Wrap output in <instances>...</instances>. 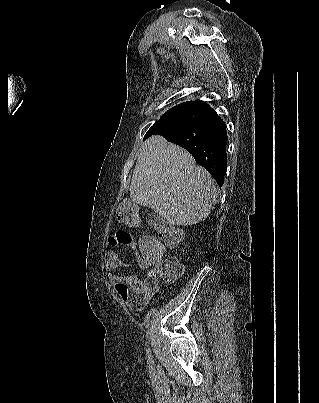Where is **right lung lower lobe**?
Wrapping results in <instances>:
<instances>
[{"label":"right lung lower lobe","mask_w":319,"mask_h":403,"mask_svg":"<svg viewBox=\"0 0 319 403\" xmlns=\"http://www.w3.org/2000/svg\"><path fill=\"white\" fill-rule=\"evenodd\" d=\"M188 150L196 162L212 174L221 187L227 169V132L225 122L216 113L180 127L155 132Z\"/></svg>","instance_id":"obj_1"}]
</instances>
